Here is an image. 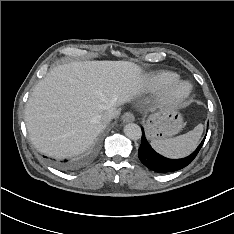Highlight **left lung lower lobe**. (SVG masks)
I'll list each match as a JSON object with an SVG mask.
<instances>
[{
  "label": "left lung lower lobe",
  "mask_w": 234,
  "mask_h": 234,
  "mask_svg": "<svg viewBox=\"0 0 234 234\" xmlns=\"http://www.w3.org/2000/svg\"><path fill=\"white\" fill-rule=\"evenodd\" d=\"M205 138L197 147V149L188 157L182 159H168L157 152H155L152 147L148 144L144 131L142 129V141L140 148L138 149V156L140 161L149 169L159 172V173H166V172H173L180 170L190 164L193 159L196 157L198 152L200 151Z\"/></svg>",
  "instance_id": "left-lung-lower-lobe-1"
}]
</instances>
